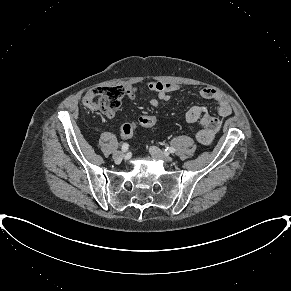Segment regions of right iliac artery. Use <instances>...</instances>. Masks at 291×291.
I'll return each mask as SVG.
<instances>
[{"label": "right iliac artery", "instance_id": "right-iliac-artery-1", "mask_svg": "<svg viewBox=\"0 0 291 291\" xmlns=\"http://www.w3.org/2000/svg\"><path fill=\"white\" fill-rule=\"evenodd\" d=\"M121 149L123 152H126L129 149L128 143H123Z\"/></svg>", "mask_w": 291, "mask_h": 291}]
</instances>
